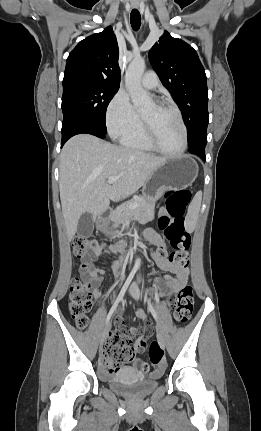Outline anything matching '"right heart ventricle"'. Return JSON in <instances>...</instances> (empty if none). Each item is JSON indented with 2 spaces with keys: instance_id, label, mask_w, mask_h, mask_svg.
Returning a JSON list of instances; mask_svg holds the SVG:
<instances>
[{
  "instance_id": "obj_1",
  "label": "right heart ventricle",
  "mask_w": 261,
  "mask_h": 431,
  "mask_svg": "<svg viewBox=\"0 0 261 431\" xmlns=\"http://www.w3.org/2000/svg\"><path fill=\"white\" fill-rule=\"evenodd\" d=\"M121 142L125 147L134 149V150H140V151L155 150L145 136L140 118H139L138 125L128 134L123 136L121 138Z\"/></svg>"
}]
</instances>
